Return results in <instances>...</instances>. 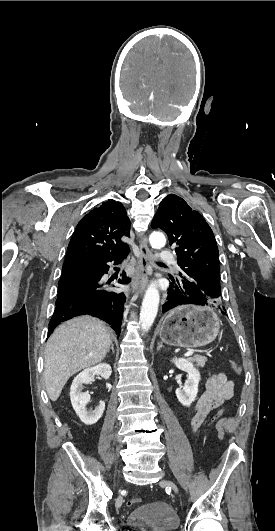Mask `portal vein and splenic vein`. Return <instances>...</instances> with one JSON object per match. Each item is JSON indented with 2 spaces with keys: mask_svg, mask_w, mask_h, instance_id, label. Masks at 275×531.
Masks as SVG:
<instances>
[{
  "mask_svg": "<svg viewBox=\"0 0 275 531\" xmlns=\"http://www.w3.org/2000/svg\"><path fill=\"white\" fill-rule=\"evenodd\" d=\"M192 356V353H191V350H188V353H185V357H190Z\"/></svg>",
  "mask_w": 275,
  "mask_h": 531,
  "instance_id": "18ae733b",
  "label": "portal vein and splenic vein"
}]
</instances>
